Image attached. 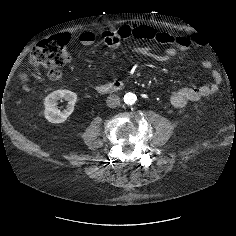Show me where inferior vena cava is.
I'll use <instances>...</instances> for the list:
<instances>
[{"label":"inferior vena cava","instance_id":"602c4592","mask_svg":"<svg viewBox=\"0 0 236 236\" xmlns=\"http://www.w3.org/2000/svg\"><path fill=\"white\" fill-rule=\"evenodd\" d=\"M107 106L110 108H115L120 105V97L113 94L107 97L106 100Z\"/></svg>","mask_w":236,"mask_h":236}]
</instances>
